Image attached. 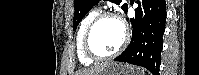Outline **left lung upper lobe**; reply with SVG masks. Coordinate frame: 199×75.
Wrapping results in <instances>:
<instances>
[{"label": "left lung upper lobe", "instance_id": "obj_1", "mask_svg": "<svg viewBox=\"0 0 199 75\" xmlns=\"http://www.w3.org/2000/svg\"><path fill=\"white\" fill-rule=\"evenodd\" d=\"M100 0H75V14L73 18V27L74 30L77 28V25L81 22L84 16L88 13V11L95 6ZM116 4H120L121 0H110ZM125 12L128 9L127 4H123L121 7Z\"/></svg>", "mask_w": 199, "mask_h": 75}]
</instances>
